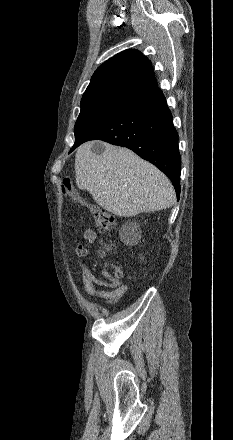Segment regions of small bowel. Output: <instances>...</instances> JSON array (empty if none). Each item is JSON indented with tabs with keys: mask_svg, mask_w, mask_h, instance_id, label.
I'll use <instances>...</instances> for the list:
<instances>
[{
	"mask_svg": "<svg viewBox=\"0 0 233 440\" xmlns=\"http://www.w3.org/2000/svg\"><path fill=\"white\" fill-rule=\"evenodd\" d=\"M83 239L84 242L75 247V254L78 257L89 254L90 245L96 240V233L87 229L83 233ZM80 271L85 291L91 296L103 298L106 304L117 303L128 290V287L121 282L112 284L110 281L98 279L85 265H80Z\"/></svg>",
	"mask_w": 233,
	"mask_h": 440,
	"instance_id": "1",
	"label": "small bowel"
}]
</instances>
